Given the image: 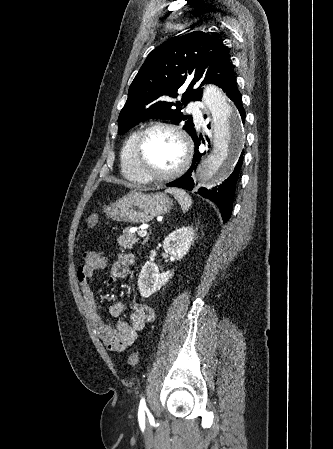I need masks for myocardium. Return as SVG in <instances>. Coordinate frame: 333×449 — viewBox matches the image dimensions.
Instances as JSON below:
<instances>
[{
  "mask_svg": "<svg viewBox=\"0 0 333 449\" xmlns=\"http://www.w3.org/2000/svg\"><path fill=\"white\" fill-rule=\"evenodd\" d=\"M154 130H164L175 135L179 139L182 146L183 158L180 164L174 170L166 174L161 175L151 174L146 170H144L141 164L144 141L146 137ZM192 152H193L192 144L188 136L182 129L172 124L158 121L147 125L144 129H142L139 132L134 144L133 161L136 171L138 172L140 177L144 179L146 182H167L179 177L186 171L192 160Z\"/></svg>",
  "mask_w": 333,
  "mask_h": 449,
  "instance_id": "f54148a6",
  "label": "myocardium"
}]
</instances>
